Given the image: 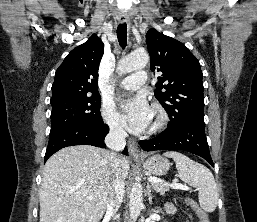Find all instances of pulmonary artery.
Instances as JSON below:
<instances>
[{"instance_id":"obj_1","label":"pulmonary artery","mask_w":257,"mask_h":222,"mask_svg":"<svg viewBox=\"0 0 257 222\" xmlns=\"http://www.w3.org/2000/svg\"><path fill=\"white\" fill-rule=\"evenodd\" d=\"M147 76L144 71H139L133 75L124 78L121 87L125 90H135L146 82Z\"/></svg>"}]
</instances>
